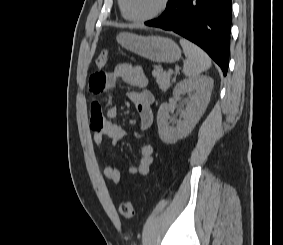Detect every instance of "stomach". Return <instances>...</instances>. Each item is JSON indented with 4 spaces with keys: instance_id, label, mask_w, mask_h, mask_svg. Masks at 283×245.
<instances>
[{
    "instance_id": "stomach-1",
    "label": "stomach",
    "mask_w": 283,
    "mask_h": 245,
    "mask_svg": "<svg viewBox=\"0 0 283 245\" xmlns=\"http://www.w3.org/2000/svg\"><path fill=\"white\" fill-rule=\"evenodd\" d=\"M117 41L128 51L154 62L173 63L181 57L180 48L169 38L122 32Z\"/></svg>"
}]
</instances>
